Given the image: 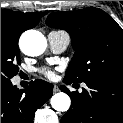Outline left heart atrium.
<instances>
[{
  "label": "left heart atrium",
  "mask_w": 123,
  "mask_h": 123,
  "mask_svg": "<svg viewBox=\"0 0 123 123\" xmlns=\"http://www.w3.org/2000/svg\"><path fill=\"white\" fill-rule=\"evenodd\" d=\"M41 73L49 79H55V77H56L55 71L50 68H43L41 70Z\"/></svg>",
  "instance_id": "left-heart-atrium-1"
}]
</instances>
